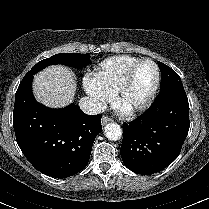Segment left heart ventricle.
<instances>
[{"label":"left heart ventricle","mask_w":209,"mask_h":209,"mask_svg":"<svg viewBox=\"0 0 209 209\" xmlns=\"http://www.w3.org/2000/svg\"><path fill=\"white\" fill-rule=\"evenodd\" d=\"M155 82V69L149 62L140 64L132 77L124 96V106L133 108L142 104L149 96Z\"/></svg>","instance_id":"left-heart-ventricle-1"}]
</instances>
